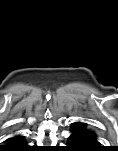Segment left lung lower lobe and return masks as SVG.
<instances>
[{"label":"left lung lower lobe","instance_id":"0a47b994","mask_svg":"<svg viewBox=\"0 0 118 151\" xmlns=\"http://www.w3.org/2000/svg\"><path fill=\"white\" fill-rule=\"evenodd\" d=\"M66 151H100L98 146L88 135L74 127L71 128V134L68 138Z\"/></svg>","mask_w":118,"mask_h":151}]
</instances>
